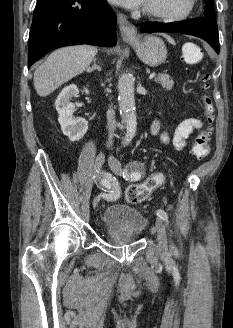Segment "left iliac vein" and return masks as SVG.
Segmentation results:
<instances>
[{"instance_id":"left-iliac-vein-1","label":"left iliac vein","mask_w":233,"mask_h":328,"mask_svg":"<svg viewBox=\"0 0 233 328\" xmlns=\"http://www.w3.org/2000/svg\"><path fill=\"white\" fill-rule=\"evenodd\" d=\"M108 163L114 174L116 175L122 174L123 169L121 163L116 157L109 156ZM155 228L157 231V241H158L159 251L161 254L166 255L168 251V241H167L165 226L160 218L156 219Z\"/></svg>"}]
</instances>
